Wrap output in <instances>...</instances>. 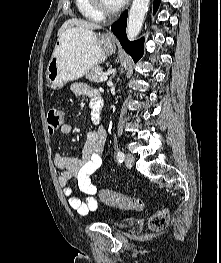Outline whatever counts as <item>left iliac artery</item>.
Returning <instances> with one entry per match:
<instances>
[{
  "label": "left iliac artery",
  "instance_id": "44dca946",
  "mask_svg": "<svg viewBox=\"0 0 221 263\" xmlns=\"http://www.w3.org/2000/svg\"><path fill=\"white\" fill-rule=\"evenodd\" d=\"M124 158H125L124 153L121 152V151H119L118 154H117V159H118V161H119V162H123Z\"/></svg>",
  "mask_w": 221,
  "mask_h": 263
}]
</instances>
